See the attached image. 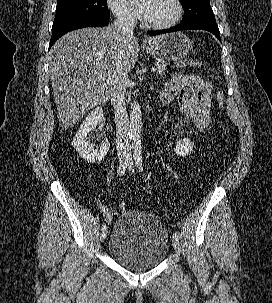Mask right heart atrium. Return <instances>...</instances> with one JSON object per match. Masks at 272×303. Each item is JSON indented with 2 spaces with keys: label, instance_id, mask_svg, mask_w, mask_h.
Masks as SVG:
<instances>
[{
  "label": "right heart atrium",
  "instance_id": "1",
  "mask_svg": "<svg viewBox=\"0 0 272 303\" xmlns=\"http://www.w3.org/2000/svg\"><path fill=\"white\" fill-rule=\"evenodd\" d=\"M110 11L118 21L133 24L137 19V11L128 0H107Z\"/></svg>",
  "mask_w": 272,
  "mask_h": 303
}]
</instances>
